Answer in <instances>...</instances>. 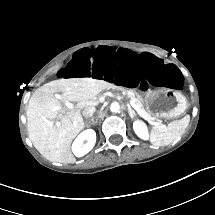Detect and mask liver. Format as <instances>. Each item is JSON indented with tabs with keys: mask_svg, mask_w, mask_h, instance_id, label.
Returning <instances> with one entry per match:
<instances>
[{
	"mask_svg": "<svg viewBox=\"0 0 215 215\" xmlns=\"http://www.w3.org/2000/svg\"><path fill=\"white\" fill-rule=\"evenodd\" d=\"M109 87V82L86 77L62 78L37 88L27 109L28 137L34 147L50 161L74 163L70 143L84 125L80 110L97 105L98 93ZM54 92H60L64 101L77 102L75 109L72 112L62 109ZM57 114L59 120L55 121ZM57 122L60 126H56Z\"/></svg>",
	"mask_w": 215,
	"mask_h": 215,
	"instance_id": "6515ba94",
	"label": "liver"
}]
</instances>
